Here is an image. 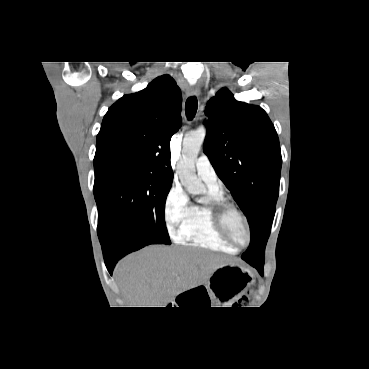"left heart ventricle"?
<instances>
[{
	"instance_id": "obj_1",
	"label": "left heart ventricle",
	"mask_w": 369,
	"mask_h": 369,
	"mask_svg": "<svg viewBox=\"0 0 369 369\" xmlns=\"http://www.w3.org/2000/svg\"><path fill=\"white\" fill-rule=\"evenodd\" d=\"M228 226L234 239L238 243L244 244L247 240V235L240 218L235 214H231L228 218Z\"/></svg>"
}]
</instances>
